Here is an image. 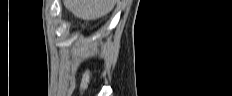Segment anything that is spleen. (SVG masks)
Wrapping results in <instances>:
<instances>
[{"label":"spleen","instance_id":"1","mask_svg":"<svg viewBox=\"0 0 232 96\" xmlns=\"http://www.w3.org/2000/svg\"><path fill=\"white\" fill-rule=\"evenodd\" d=\"M66 8L76 17L83 20H95L109 13L115 4L114 0H65Z\"/></svg>","mask_w":232,"mask_h":96}]
</instances>
